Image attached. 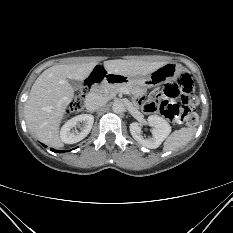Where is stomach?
Instances as JSON below:
<instances>
[{
	"instance_id": "1",
	"label": "stomach",
	"mask_w": 233,
	"mask_h": 233,
	"mask_svg": "<svg viewBox=\"0 0 233 233\" xmlns=\"http://www.w3.org/2000/svg\"><path fill=\"white\" fill-rule=\"evenodd\" d=\"M182 68L175 63H166L157 70L146 76L131 77L114 74V81L119 84H126L131 88H147L149 85H161L164 82L176 79L181 73Z\"/></svg>"
}]
</instances>
